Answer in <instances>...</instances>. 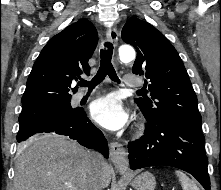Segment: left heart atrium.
<instances>
[{"instance_id":"left-heart-atrium-1","label":"left heart atrium","mask_w":221,"mask_h":190,"mask_svg":"<svg viewBox=\"0 0 221 190\" xmlns=\"http://www.w3.org/2000/svg\"><path fill=\"white\" fill-rule=\"evenodd\" d=\"M90 113L96 123L109 130L122 128L128 119L121 101L114 95H107L94 101Z\"/></svg>"}]
</instances>
